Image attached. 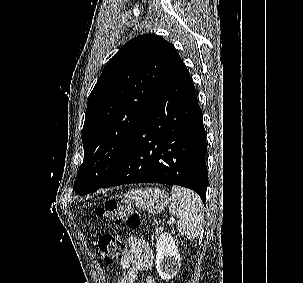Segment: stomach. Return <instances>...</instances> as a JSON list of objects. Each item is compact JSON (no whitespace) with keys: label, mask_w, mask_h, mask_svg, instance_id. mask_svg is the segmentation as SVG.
Instances as JSON below:
<instances>
[{"label":"stomach","mask_w":303,"mask_h":283,"mask_svg":"<svg viewBox=\"0 0 303 283\" xmlns=\"http://www.w3.org/2000/svg\"><path fill=\"white\" fill-rule=\"evenodd\" d=\"M123 200L130 205L157 214L163 211L170 200L168 193L160 188L136 189L125 194Z\"/></svg>","instance_id":"obj_1"}]
</instances>
